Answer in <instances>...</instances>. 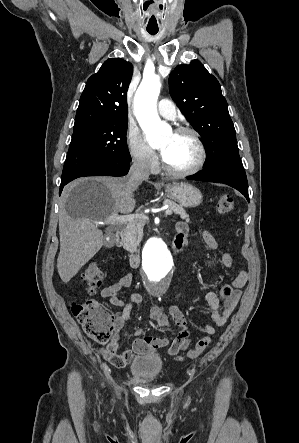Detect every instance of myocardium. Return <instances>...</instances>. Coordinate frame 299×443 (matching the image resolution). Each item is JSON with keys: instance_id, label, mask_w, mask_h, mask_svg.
<instances>
[{"instance_id": "obj_1", "label": "myocardium", "mask_w": 299, "mask_h": 443, "mask_svg": "<svg viewBox=\"0 0 299 443\" xmlns=\"http://www.w3.org/2000/svg\"><path fill=\"white\" fill-rule=\"evenodd\" d=\"M174 133L175 134H189L194 139L196 146H197V150H198L197 159H196L195 163L192 166H190L189 168H186L183 170H176V169L169 167L164 162V160L161 156L160 157L161 168L164 170V172L166 174L173 176V177H186V176H190V175H193V174L199 172L202 169V167L204 166L205 161H206V157H207L206 148H205V145L201 139L200 134L194 128L187 127V126H183V127H179L177 129H175Z\"/></svg>"}]
</instances>
